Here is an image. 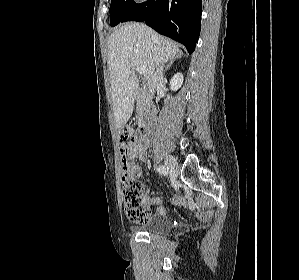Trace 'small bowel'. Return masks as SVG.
I'll use <instances>...</instances> for the list:
<instances>
[{
	"instance_id": "c3829d8e",
	"label": "small bowel",
	"mask_w": 299,
	"mask_h": 280,
	"mask_svg": "<svg viewBox=\"0 0 299 280\" xmlns=\"http://www.w3.org/2000/svg\"><path fill=\"white\" fill-rule=\"evenodd\" d=\"M148 140L143 136H138L127 145V157L129 164V172L133 177H141L142 170L139 166L133 165L131 161L133 159H138L144 161L147 158ZM142 200L146 205H158L157 212L159 214H165L166 208L160 203V199L157 197L151 198L146 192H142ZM173 204H185L184 200L180 197H176L173 200Z\"/></svg>"
}]
</instances>
